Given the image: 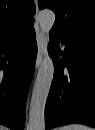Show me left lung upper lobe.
<instances>
[{
  "instance_id": "obj_1",
  "label": "left lung upper lobe",
  "mask_w": 95,
  "mask_h": 130,
  "mask_svg": "<svg viewBox=\"0 0 95 130\" xmlns=\"http://www.w3.org/2000/svg\"><path fill=\"white\" fill-rule=\"evenodd\" d=\"M38 5L55 12L50 35L95 47V0H39Z\"/></svg>"
}]
</instances>
